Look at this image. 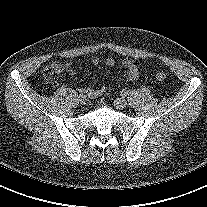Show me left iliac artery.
Instances as JSON below:
<instances>
[{
  "label": "left iliac artery",
  "instance_id": "left-iliac-artery-1",
  "mask_svg": "<svg viewBox=\"0 0 207 207\" xmlns=\"http://www.w3.org/2000/svg\"><path fill=\"white\" fill-rule=\"evenodd\" d=\"M127 94H128V91L126 89H123L122 92H121V95L126 96Z\"/></svg>",
  "mask_w": 207,
  "mask_h": 207
}]
</instances>
